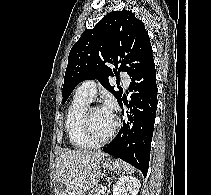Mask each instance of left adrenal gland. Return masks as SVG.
<instances>
[{
    "label": "left adrenal gland",
    "instance_id": "1",
    "mask_svg": "<svg viewBox=\"0 0 211 195\" xmlns=\"http://www.w3.org/2000/svg\"><path fill=\"white\" fill-rule=\"evenodd\" d=\"M109 192H110V189L107 190V194L106 195H108Z\"/></svg>",
    "mask_w": 211,
    "mask_h": 195
}]
</instances>
